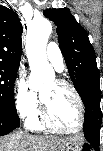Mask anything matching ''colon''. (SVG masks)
Instances as JSON below:
<instances>
[{"mask_svg":"<svg viewBox=\"0 0 103 151\" xmlns=\"http://www.w3.org/2000/svg\"><path fill=\"white\" fill-rule=\"evenodd\" d=\"M83 151H90V149L86 147V148H84Z\"/></svg>","mask_w":103,"mask_h":151,"instance_id":"5ec220e1","label":"colon"}]
</instances>
